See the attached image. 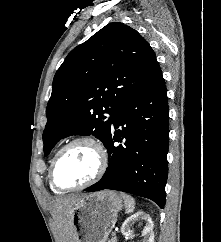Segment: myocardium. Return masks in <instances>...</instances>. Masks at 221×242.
<instances>
[{
  "label": "myocardium",
  "mask_w": 221,
  "mask_h": 242,
  "mask_svg": "<svg viewBox=\"0 0 221 242\" xmlns=\"http://www.w3.org/2000/svg\"><path fill=\"white\" fill-rule=\"evenodd\" d=\"M78 143H88L95 149V151L97 153V158H98V164H97L96 171L90 179H88L87 181H85L81 184L70 186V187L59 186L56 183L55 176H54L56 165H57L59 159L61 158V156L64 154V152L71 146L78 144ZM107 162H108V159H107L106 150H105L104 146L98 140H96L95 138L90 137V136L75 137V138L71 139L70 141H68L66 144H64L53 157L51 164H50V168H49L50 184L53 188H55L59 191H73V190L86 188V187L94 184L95 182H97L103 176V174L107 168Z\"/></svg>",
  "instance_id": "f54148a6"
}]
</instances>
